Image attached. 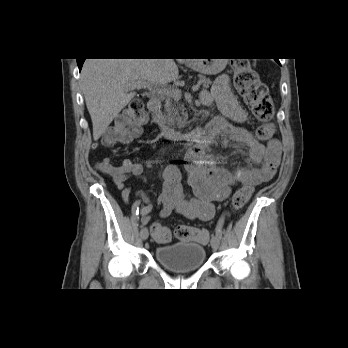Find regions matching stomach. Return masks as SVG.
Masks as SVG:
<instances>
[{
	"label": "stomach",
	"instance_id": "obj_1",
	"mask_svg": "<svg viewBox=\"0 0 348 348\" xmlns=\"http://www.w3.org/2000/svg\"><path fill=\"white\" fill-rule=\"evenodd\" d=\"M227 59H194L191 68L203 75H216L226 66Z\"/></svg>",
	"mask_w": 348,
	"mask_h": 348
}]
</instances>
